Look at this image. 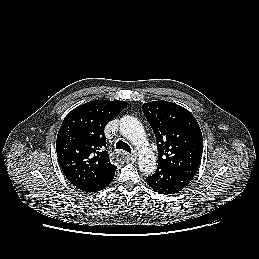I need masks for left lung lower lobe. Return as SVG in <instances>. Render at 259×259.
<instances>
[{"label":"left lung lower lobe","instance_id":"1","mask_svg":"<svg viewBox=\"0 0 259 259\" xmlns=\"http://www.w3.org/2000/svg\"><path fill=\"white\" fill-rule=\"evenodd\" d=\"M146 180L153 190L165 195L177 193L189 183L181 175L163 167H158L156 172Z\"/></svg>","mask_w":259,"mask_h":259}]
</instances>
